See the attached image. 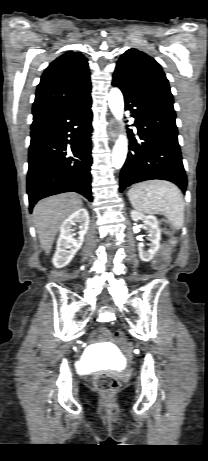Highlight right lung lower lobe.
Listing matches in <instances>:
<instances>
[{
  "label": "right lung lower lobe",
  "instance_id": "right-lung-lower-lobe-1",
  "mask_svg": "<svg viewBox=\"0 0 208 461\" xmlns=\"http://www.w3.org/2000/svg\"><path fill=\"white\" fill-rule=\"evenodd\" d=\"M91 97L31 125L27 193L30 212L45 197L77 192L91 195Z\"/></svg>",
  "mask_w": 208,
  "mask_h": 461
}]
</instances>
